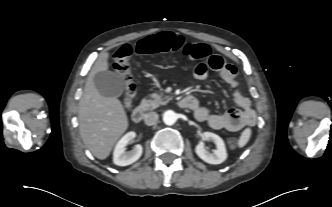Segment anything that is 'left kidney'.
<instances>
[{"mask_svg": "<svg viewBox=\"0 0 332 207\" xmlns=\"http://www.w3.org/2000/svg\"><path fill=\"white\" fill-rule=\"evenodd\" d=\"M201 137L203 140L214 142L216 149L211 153L205 149L204 143L200 142L195 148L196 154L209 164H221L224 162L227 158V152L222 138L211 132H205Z\"/></svg>", "mask_w": 332, "mask_h": 207, "instance_id": "5707ae66", "label": "left kidney"}]
</instances>
